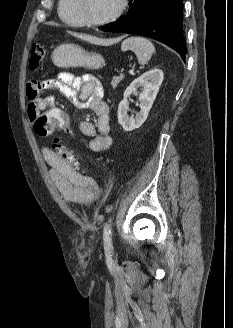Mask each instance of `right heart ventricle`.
<instances>
[{
	"instance_id": "obj_1",
	"label": "right heart ventricle",
	"mask_w": 233,
	"mask_h": 328,
	"mask_svg": "<svg viewBox=\"0 0 233 328\" xmlns=\"http://www.w3.org/2000/svg\"><path fill=\"white\" fill-rule=\"evenodd\" d=\"M76 0H59L58 14L63 23L72 27H81L85 24L76 11Z\"/></svg>"
}]
</instances>
